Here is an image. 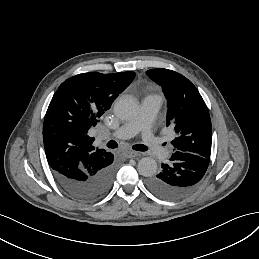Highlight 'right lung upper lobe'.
<instances>
[{
  "label": "right lung upper lobe",
  "mask_w": 259,
  "mask_h": 259,
  "mask_svg": "<svg viewBox=\"0 0 259 259\" xmlns=\"http://www.w3.org/2000/svg\"><path fill=\"white\" fill-rule=\"evenodd\" d=\"M135 72L82 73L63 82L45 115L43 143L50 167L64 175L95 169L108 152L93 146L88 130L126 89Z\"/></svg>",
  "instance_id": "obj_1"
}]
</instances>
